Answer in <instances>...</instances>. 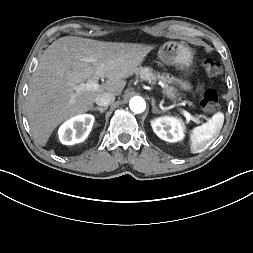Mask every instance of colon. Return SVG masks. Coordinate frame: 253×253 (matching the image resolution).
Instances as JSON below:
<instances>
[{"instance_id":"1","label":"colon","mask_w":253,"mask_h":253,"mask_svg":"<svg viewBox=\"0 0 253 253\" xmlns=\"http://www.w3.org/2000/svg\"><path fill=\"white\" fill-rule=\"evenodd\" d=\"M203 67L209 77H217L222 70L220 62L213 58H206ZM201 107L207 112H215L218 109V94L215 90L208 89L204 92Z\"/></svg>"}]
</instances>
